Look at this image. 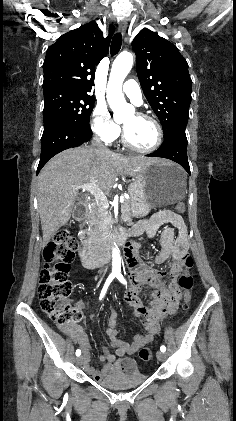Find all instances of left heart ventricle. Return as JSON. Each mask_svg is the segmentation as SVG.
Listing matches in <instances>:
<instances>
[{
  "label": "left heart ventricle",
  "mask_w": 236,
  "mask_h": 421,
  "mask_svg": "<svg viewBox=\"0 0 236 421\" xmlns=\"http://www.w3.org/2000/svg\"><path fill=\"white\" fill-rule=\"evenodd\" d=\"M122 123L128 140L135 146L148 148L155 142L156 131L154 126L136 113L127 116Z\"/></svg>",
  "instance_id": "obj_1"
}]
</instances>
